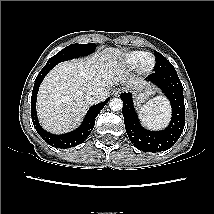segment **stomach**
Segmentation results:
<instances>
[{"instance_id": "obj_1", "label": "stomach", "mask_w": 214, "mask_h": 214, "mask_svg": "<svg viewBox=\"0 0 214 214\" xmlns=\"http://www.w3.org/2000/svg\"><path fill=\"white\" fill-rule=\"evenodd\" d=\"M151 94H153V90L151 88H145L142 91H140L135 96L137 105L140 106Z\"/></svg>"}]
</instances>
